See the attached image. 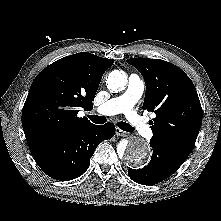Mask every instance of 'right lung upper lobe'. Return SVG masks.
Instances as JSON below:
<instances>
[{
	"label": "right lung upper lobe",
	"instance_id": "1",
	"mask_svg": "<svg viewBox=\"0 0 221 221\" xmlns=\"http://www.w3.org/2000/svg\"><path fill=\"white\" fill-rule=\"evenodd\" d=\"M113 62L81 52L55 61L38 74L22 110L29 147L92 125L77 114L80 108H93L101 78Z\"/></svg>",
	"mask_w": 221,
	"mask_h": 221
}]
</instances>
